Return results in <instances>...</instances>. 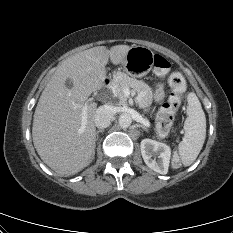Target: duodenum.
Listing matches in <instances>:
<instances>
[{"label":"duodenum","instance_id":"410a0bca","mask_svg":"<svg viewBox=\"0 0 233 233\" xmlns=\"http://www.w3.org/2000/svg\"><path fill=\"white\" fill-rule=\"evenodd\" d=\"M110 83H111V80L109 78H105L103 80V86L104 87H108L110 85Z\"/></svg>","mask_w":233,"mask_h":233}]
</instances>
